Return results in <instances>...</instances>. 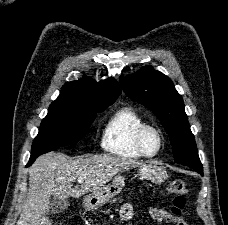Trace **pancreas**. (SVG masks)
I'll return each mask as SVG.
<instances>
[{
    "mask_svg": "<svg viewBox=\"0 0 228 225\" xmlns=\"http://www.w3.org/2000/svg\"><path fill=\"white\" fill-rule=\"evenodd\" d=\"M115 201H116V199H115ZM115 201H111V203H115Z\"/></svg>",
    "mask_w": 228,
    "mask_h": 225,
    "instance_id": "pancreas-1",
    "label": "pancreas"
}]
</instances>
